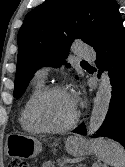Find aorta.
Listing matches in <instances>:
<instances>
[{"label": "aorta", "instance_id": "762f6f07", "mask_svg": "<svg viewBox=\"0 0 125 167\" xmlns=\"http://www.w3.org/2000/svg\"><path fill=\"white\" fill-rule=\"evenodd\" d=\"M111 100V84L108 73L102 74V78L99 82L98 91L94 98L93 109L87 127V133L94 134L104 122L107 115L109 104Z\"/></svg>", "mask_w": 125, "mask_h": 167}]
</instances>
